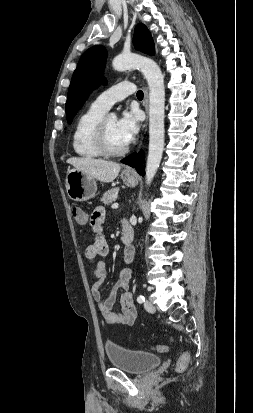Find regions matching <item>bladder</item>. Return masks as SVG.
I'll use <instances>...</instances> for the list:
<instances>
[{"instance_id":"bladder-1","label":"bladder","mask_w":253,"mask_h":413,"mask_svg":"<svg viewBox=\"0 0 253 413\" xmlns=\"http://www.w3.org/2000/svg\"><path fill=\"white\" fill-rule=\"evenodd\" d=\"M105 353L110 364L131 374H144L162 362L159 355L154 353L129 349L114 343L105 344Z\"/></svg>"}]
</instances>
